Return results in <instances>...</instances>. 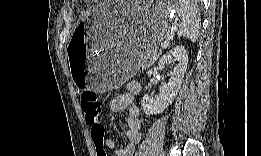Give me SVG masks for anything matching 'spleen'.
<instances>
[{"label":"spleen","mask_w":261,"mask_h":156,"mask_svg":"<svg viewBox=\"0 0 261 156\" xmlns=\"http://www.w3.org/2000/svg\"><path fill=\"white\" fill-rule=\"evenodd\" d=\"M173 7L170 6V9ZM175 12L179 21L174 24V29L178 36L188 38L194 42L199 35V15L195 4L190 0H180L176 2Z\"/></svg>","instance_id":"1"}]
</instances>
